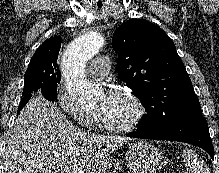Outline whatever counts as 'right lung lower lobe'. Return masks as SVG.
Segmentation results:
<instances>
[{
	"label": "right lung lower lobe",
	"instance_id": "right-lung-lower-lobe-1",
	"mask_svg": "<svg viewBox=\"0 0 219 173\" xmlns=\"http://www.w3.org/2000/svg\"><path fill=\"white\" fill-rule=\"evenodd\" d=\"M31 96H32V93H31V94H28V95H26V96H23V98H22V100H21V102H20V105H19V107H18L17 113H19V112L22 110V108L26 105V103H27L28 100L31 98Z\"/></svg>",
	"mask_w": 219,
	"mask_h": 173
}]
</instances>
